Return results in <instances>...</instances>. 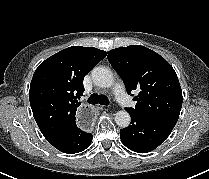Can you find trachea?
I'll list each match as a JSON object with an SVG mask.
<instances>
[{
	"label": "trachea",
	"instance_id": "trachea-1",
	"mask_svg": "<svg viewBox=\"0 0 209 179\" xmlns=\"http://www.w3.org/2000/svg\"><path fill=\"white\" fill-rule=\"evenodd\" d=\"M88 103L90 104H101V105H109V100L102 95H97L96 93H93L89 98H88Z\"/></svg>",
	"mask_w": 209,
	"mask_h": 179
}]
</instances>
